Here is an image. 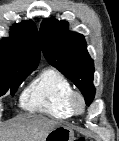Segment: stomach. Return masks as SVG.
Segmentation results:
<instances>
[{
	"label": "stomach",
	"instance_id": "1",
	"mask_svg": "<svg viewBox=\"0 0 119 141\" xmlns=\"http://www.w3.org/2000/svg\"><path fill=\"white\" fill-rule=\"evenodd\" d=\"M74 131L66 126L59 125L50 131L45 139V141H74Z\"/></svg>",
	"mask_w": 119,
	"mask_h": 141
}]
</instances>
